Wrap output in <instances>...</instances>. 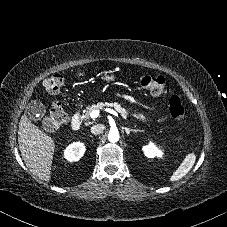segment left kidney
<instances>
[{
  "label": "left kidney",
  "mask_w": 227,
  "mask_h": 227,
  "mask_svg": "<svg viewBox=\"0 0 227 227\" xmlns=\"http://www.w3.org/2000/svg\"><path fill=\"white\" fill-rule=\"evenodd\" d=\"M142 150L145 156L148 158H161L163 156V151L158 148L153 142H149L147 145L143 146Z\"/></svg>",
  "instance_id": "5707ae66"
}]
</instances>
